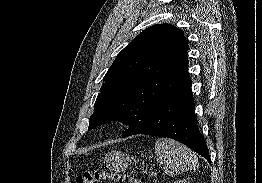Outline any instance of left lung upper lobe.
<instances>
[{"label":"left lung upper lobe","mask_w":262,"mask_h":183,"mask_svg":"<svg viewBox=\"0 0 262 183\" xmlns=\"http://www.w3.org/2000/svg\"><path fill=\"white\" fill-rule=\"evenodd\" d=\"M189 46L184 32L169 24L142 31L116 57L97 96L89 130L113 120L134 135L188 75Z\"/></svg>","instance_id":"1"}]
</instances>
